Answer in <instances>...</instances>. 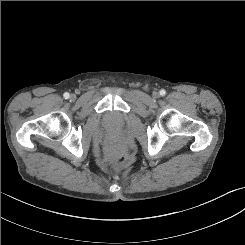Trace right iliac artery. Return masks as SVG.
<instances>
[{
    "label": "right iliac artery",
    "instance_id": "right-iliac-artery-1",
    "mask_svg": "<svg viewBox=\"0 0 245 245\" xmlns=\"http://www.w3.org/2000/svg\"><path fill=\"white\" fill-rule=\"evenodd\" d=\"M63 96H64V98H65V99H68V98L70 97L69 93H67V92H66V93H64V95H63Z\"/></svg>",
    "mask_w": 245,
    "mask_h": 245
}]
</instances>
